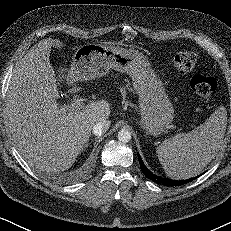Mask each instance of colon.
<instances>
[{
  "label": "colon",
  "mask_w": 231,
  "mask_h": 231,
  "mask_svg": "<svg viewBox=\"0 0 231 231\" xmlns=\"http://www.w3.org/2000/svg\"><path fill=\"white\" fill-rule=\"evenodd\" d=\"M198 61V54L193 51H183L174 57V67L180 73L191 71ZM191 88L199 99L209 101L217 88L216 81L212 77L196 75L191 80Z\"/></svg>",
  "instance_id": "5ec220e1"
}]
</instances>
